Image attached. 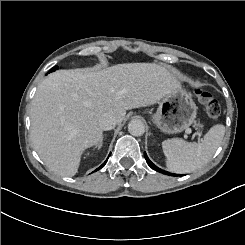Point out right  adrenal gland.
Wrapping results in <instances>:
<instances>
[{
	"instance_id": "1",
	"label": "right adrenal gland",
	"mask_w": 245,
	"mask_h": 245,
	"mask_svg": "<svg viewBox=\"0 0 245 245\" xmlns=\"http://www.w3.org/2000/svg\"><path fill=\"white\" fill-rule=\"evenodd\" d=\"M102 144H103V137L100 139L99 143L96 144L95 148L100 149L102 147Z\"/></svg>"
}]
</instances>
